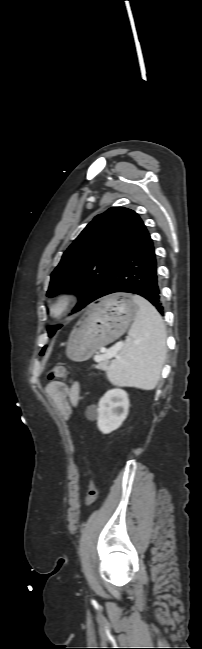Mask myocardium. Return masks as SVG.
<instances>
[{
	"label": "myocardium",
	"instance_id": "f54148a6",
	"mask_svg": "<svg viewBox=\"0 0 202 649\" xmlns=\"http://www.w3.org/2000/svg\"><path fill=\"white\" fill-rule=\"evenodd\" d=\"M73 294L70 292H65L60 294L51 305V313L54 317H60L64 315L70 308L73 302Z\"/></svg>",
	"mask_w": 202,
	"mask_h": 649
}]
</instances>
